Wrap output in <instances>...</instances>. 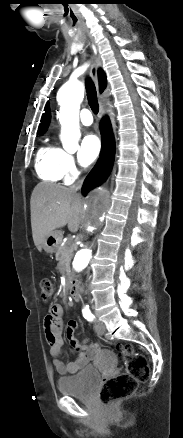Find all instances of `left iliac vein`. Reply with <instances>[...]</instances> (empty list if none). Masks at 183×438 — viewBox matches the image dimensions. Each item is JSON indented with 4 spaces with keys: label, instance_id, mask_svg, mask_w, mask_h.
<instances>
[{
    "label": "left iliac vein",
    "instance_id": "1",
    "mask_svg": "<svg viewBox=\"0 0 183 438\" xmlns=\"http://www.w3.org/2000/svg\"><path fill=\"white\" fill-rule=\"evenodd\" d=\"M105 331V325L102 322L97 321L95 323V332L97 333V335H103Z\"/></svg>",
    "mask_w": 183,
    "mask_h": 438
}]
</instances>
